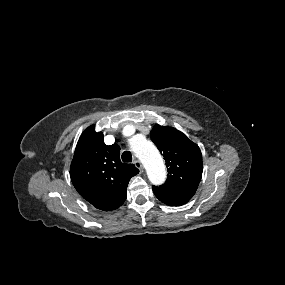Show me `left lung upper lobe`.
Listing matches in <instances>:
<instances>
[{
	"label": "left lung upper lobe",
	"instance_id": "1",
	"mask_svg": "<svg viewBox=\"0 0 285 285\" xmlns=\"http://www.w3.org/2000/svg\"><path fill=\"white\" fill-rule=\"evenodd\" d=\"M151 140L166 160L168 178L162 187L195 192L201 180V151L183 133L169 126L156 124Z\"/></svg>",
	"mask_w": 285,
	"mask_h": 285
}]
</instances>
